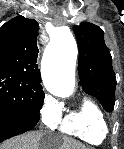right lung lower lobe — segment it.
Instances as JSON below:
<instances>
[{
  "instance_id": "obj_1",
  "label": "right lung lower lobe",
  "mask_w": 124,
  "mask_h": 149,
  "mask_svg": "<svg viewBox=\"0 0 124 149\" xmlns=\"http://www.w3.org/2000/svg\"><path fill=\"white\" fill-rule=\"evenodd\" d=\"M39 117L40 114L0 113V142L33 129Z\"/></svg>"
}]
</instances>
